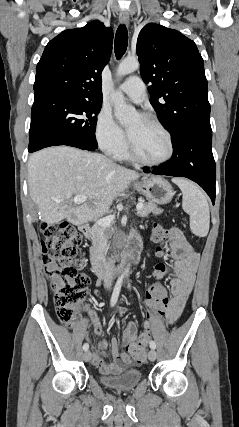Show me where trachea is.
Wrapping results in <instances>:
<instances>
[{"instance_id":"trachea-1","label":"trachea","mask_w":239,"mask_h":427,"mask_svg":"<svg viewBox=\"0 0 239 427\" xmlns=\"http://www.w3.org/2000/svg\"><path fill=\"white\" fill-rule=\"evenodd\" d=\"M128 32L125 25H120L115 35L114 49L117 59H120L127 50Z\"/></svg>"}]
</instances>
